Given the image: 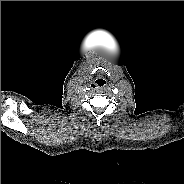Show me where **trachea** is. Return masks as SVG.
<instances>
[{"label":"trachea","instance_id":"3493384b","mask_svg":"<svg viewBox=\"0 0 184 184\" xmlns=\"http://www.w3.org/2000/svg\"><path fill=\"white\" fill-rule=\"evenodd\" d=\"M106 80L103 78H98L96 79L93 84L91 85L93 88L95 89H103L104 87H106Z\"/></svg>","mask_w":184,"mask_h":184}]
</instances>
